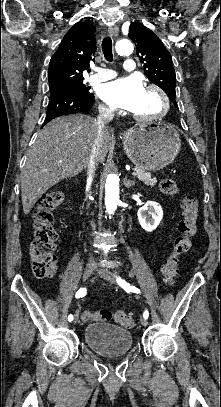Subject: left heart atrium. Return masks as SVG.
Returning a JSON list of instances; mask_svg holds the SVG:
<instances>
[{"label": "left heart atrium", "mask_w": 221, "mask_h": 407, "mask_svg": "<svg viewBox=\"0 0 221 407\" xmlns=\"http://www.w3.org/2000/svg\"><path fill=\"white\" fill-rule=\"evenodd\" d=\"M144 90L138 77L129 76L102 85L99 94L113 108L132 111L137 106Z\"/></svg>", "instance_id": "left-heart-atrium-1"}]
</instances>
